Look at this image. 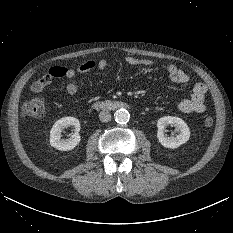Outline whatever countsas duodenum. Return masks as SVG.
<instances>
[{
    "mask_svg": "<svg viewBox=\"0 0 233 233\" xmlns=\"http://www.w3.org/2000/svg\"><path fill=\"white\" fill-rule=\"evenodd\" d=\"M96 106L101 107L103 109L115 110V109L127 107L128 105L121 101H106L103 103H98L96 104Z\"/></svg>",
    "mask_w": 233,
    "mask_h": 233,
    "instance_id": "duodenum-1",
    "label": "duodenum"
}]
</instances>
